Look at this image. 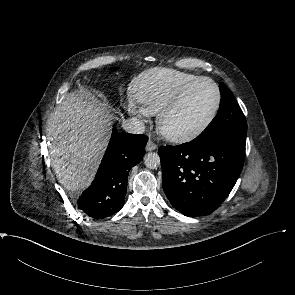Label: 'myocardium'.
<instances>
[{"label": "myocardium", "instance_id": "obj_1", "mask_svg": "<svg viewBox=\"0 0 295 295\" xmlns=\"http://www.w3.org/2000/svg\"><path fill=\"white\" fill-rule=\"evenodd\" d=\"M202 81H207L210 82L217 93V100H216V104L215 107L211 113V115L209 116V118L205 121L204 124H202L199 128H197L196 130L185 134V135H180V136H173V135H169L164 131V122L165 119L167 118V116L169 114H171L178 106L179 104L182 102V100L184 99V97L186 96V94L198 83L202 82ZM221 104H222V93H221V89L219 87V85L210 77H206V76H201V77H197L196 79L192 80L191 82H189L188 84H186L184 87H182L176 94L175 96L162 108V110L158 113V118H157V127L158 130L160 131V133L169 141L173 142V143H177V144H185V143H189L191 141H194L195 139L199 138L201 135H203L210 127L211 125L214 123V121L216 120L220 108H221Z\"/></svg>", "mask_w": 295, "mask_h": 295}]
</instances>
